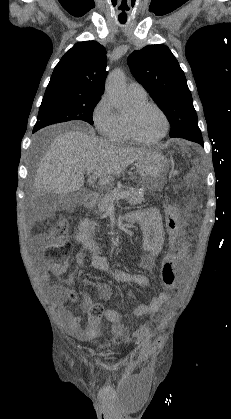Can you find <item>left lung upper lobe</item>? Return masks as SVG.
Wrapping results in <instances>:
<instances>
[{
    "instance_id": "1",
    "label": "left lung upper lobe",
    "mask_w": 231,
    "mask_h": 419,
    "mask_svg": "<svg viewBox=\"0 0 231 419\" xmlns=\"http://www.w3.org/2000/svg\"><path fill=\"white\" fill-rule=\"evenodd\" d=\"M128 64L137 81L166 113L170 137L202 135L185 74L167 46L148 45L135 50Z\"/></svg>"
}]
</instances>
